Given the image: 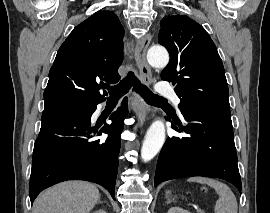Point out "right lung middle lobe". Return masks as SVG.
<instances>
[{
    "mask_svg": "<svg viewBox=\"0 0 270 213\" xmlns=\"http://www.w3.org/2000/svg\"><path fill=\"white\" fill-rule=\"evenodd\" d=\"M90 105L91 104H86V103L63 102V103H58V104L44 107V111L60 110V109H85L89 107Z\"/></svg>",
    "mask_w": 270,
    "mask_h": 213,
    "instance_id": "dd1d6c3e",
    "label": "right lung middle lobe"
}]
</instances>
